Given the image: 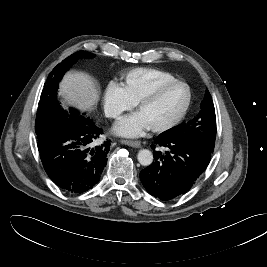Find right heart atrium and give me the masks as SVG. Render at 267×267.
<instances>
[{
  "instance_id": "obj_1",
  "label": "right heart atrium",
  "mask_w": 267,
  "mask_h": 267,
  "mask_svg": "<svg viewBox=\"0 0 267 267\" xmlns=\"http://www.w3.org/2000/svg\"><path fill=\"white\" fill-rule=\"evenodd\" d=\"M134 106L135 103L129 98L122 84L112 82L106 87L103 95V109L107 117L116 119Z\"/></svg>"
}]
</instances>
